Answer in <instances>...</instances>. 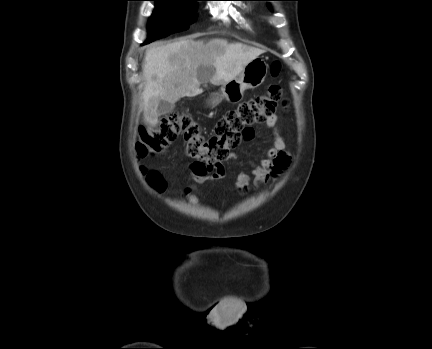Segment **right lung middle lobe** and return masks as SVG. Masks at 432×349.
Instances as JSON below:
<instances>
[{
  "label": "right lung middle lobe",
  "instance_id": "dd1d6c3e",
  "mask_svg": "<svg viewBox=\"0 0 432 349\" xmlns=\"http://www.w3.org/2000/svg\"><path fill=\"white\" fill-rule=\"evenodd\" d=\"M156 8L151 16L148 39L150 43L169 33L183 31L194 22V2L198 0H153Z\"/></svg>",
  "mask_w": 432,
  "mask_h": 349
}]
</instances>
